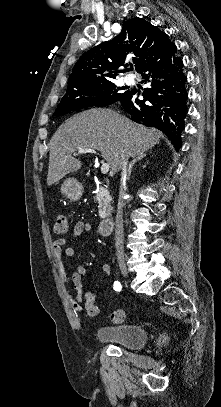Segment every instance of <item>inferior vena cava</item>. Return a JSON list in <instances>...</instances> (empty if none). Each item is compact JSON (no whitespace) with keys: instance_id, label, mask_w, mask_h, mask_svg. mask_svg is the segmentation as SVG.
<instances>
[{"instance_id":"obj_1","label":"inferior vena cava","mask_w":221,"mask_h":407,"mask_svg":"<svg viewBox=\"0 0 221 407\" xmlns=\"http://www.w3.org/2000/svg\"><path fill=\"white\" fill-rule=\"evenodd\" d=\"M121 187L119 192V202L117 206V214L115 218V246H116V256L118 262H124V247H123V202L122 198L124 195L122 184L126 181L127 176V159H123L121 164Z\"/></svg>"}]
</instances>
